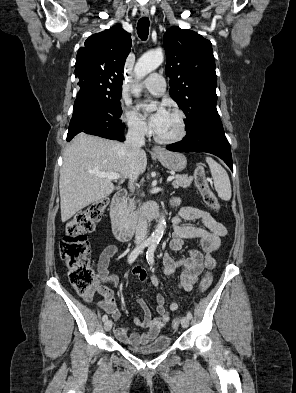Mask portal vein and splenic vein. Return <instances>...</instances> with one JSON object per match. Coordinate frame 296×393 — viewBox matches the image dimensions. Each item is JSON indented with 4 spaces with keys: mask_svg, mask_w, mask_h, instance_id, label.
Wrapping results in <instances>:
<instances>
[{
    "mask_svg": "<svg viewBox=\"0 0 296 393\" xmlns=\"http://www.w3.org/2000/svg\"><path fill=\"white\" fill-rule=\"evenodd\" d=\"M94 174L98 177L101 178H107L109 180H117L120 178V174L116 172H110V173H105V172H94ZM174 176H170L167 178V182H171L174 180Z\"/></svg>",
    "mask_w": 296,
    "mask_h": 393,
    "instance_id": "18ae733b",
    "label": "portal vein and splenic vein"
}]
</instances>
